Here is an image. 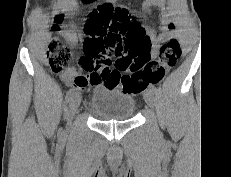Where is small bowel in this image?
<instances>
[{"instance_id": "1", "label": "small bowel", "mask_w": 231, "mask_h": 177, "mask_svg": "<svg viewBox=\"0 0 231 177\" xmlns=\"http://www.w3.org/2000/svg\"><path fill=\"white\" fill-rule=\"evenodd\" d=\"M156 0H147V3H153ZM116 0H106L105 3L114 4ZM114 6V5H113ZM127 10L123 6H116ZM128 12V10H127ZM129 13V12H128ZM61 20V17L57 18V22ZM167 16L162 14L160 16V21L163 26L167 23ZM141 26V25H140ZM144 32L150 38V55L156 57L158 55L159 49L161 47L162 37L155 34L153 31L141 26ZM79 65L86 71V74H79L72 69H68L60 74L61 78L68 84L73 85L77 89H84L93 84H98L104 82L107 86H117L112 84L109 80L103 75L102 68L98 67L93 60L88 59L86 56L80 57L78 60Z\"/></svg>"}]
</instances>
